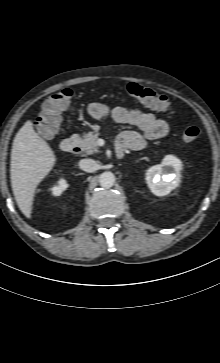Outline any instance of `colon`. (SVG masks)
<instances>
[{"label":"colon","mask_w":220,"mask_h":363,"mask_svg":"<svg viewBox=\"0 0 220 363\" xmlns=\"http://www.w3.org/2000/svg\"><path fill=\"white\" fill-rule=\"evenodd\" d=\"M126 93L147 106L173 112V106L170 100L157 91L139 85L137 83H129L125 87ZM73 97V91L69 88L61 89L52 93L44 102L40 116L36 122V131L43 138L54 136L61 125V114L66 110ZM201 135V131L196 126H189L182 131V139L186 142L196 141Z\"/></svg>","instance_id":"colon-1"}]
</instances>
